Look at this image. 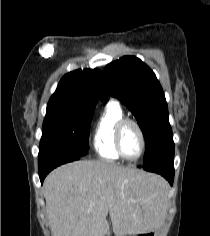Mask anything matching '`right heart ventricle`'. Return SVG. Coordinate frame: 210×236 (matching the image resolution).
<instances>
[{
  "instance_id": "1",
  "label": "right heart ventricle",
  "mask_w": 210,
  "mask_h": 236,
  "mask_svg": "<svg viewBox=\"0 0 210 236\" xmlns=\"http://www.w3.org/2000/svg\"><path fill=\"white\" fill-rule=\"evenodd\" d=\"M125 118L120 105L108 102L95 123L92 145L95 152L102 158L108 160H119L121 157L115 148V129L117 123Z\"/></svg>"
}]
</instances>
